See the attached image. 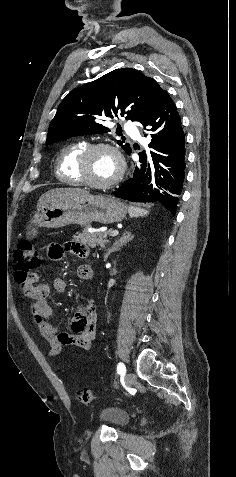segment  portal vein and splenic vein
<instances>
[{"label":"portal vein and splenic vein","mask_w":236,"mask_h":477,"mask_svg":"<svg viewBox=\"0 0 236 477\" xmlns=\"http://www.w3.org/2000/svg\"><path fill=\"white\" fill-rule=\"evenodd\" d=\"M118 234H119V231H118V230H113V231L110 232L109 235L112 236V237H115V236H117Z\"/></svg>","instance_id":"obj_1"}]
</instances>
